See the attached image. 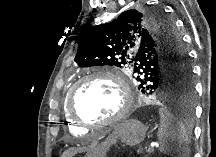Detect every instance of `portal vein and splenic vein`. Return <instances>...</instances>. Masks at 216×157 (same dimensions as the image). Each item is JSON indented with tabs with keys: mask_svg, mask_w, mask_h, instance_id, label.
<instances>
[{
	"mask_svg": "<svg viewBox=\"0 0 216 157\" xmlns=\"http://www.w3.org/2000/svg\"><path fill=\"white\" fill-rule=\"evenodd\" d=\"M153 148H154V145L152 144L151 146H149L148 152H151L153 150Z\"/></svg>",
	"mask_w": 216,
	"mask_h": 157,
	"instance_id": "obj_1",
	"label": "portal vein and splenic vein"
}]
</instances>
